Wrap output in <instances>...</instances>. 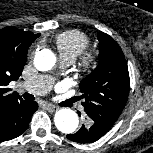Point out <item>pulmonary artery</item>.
I'll list each match as a JSON object with an SVG mask.
<instances>
[{"mask_svg":"<svg viewBox=\"0 0 153 153\" xmlns=\"http://www.w3.org/2000/svg\"><path fill=\"white\" fill-rule=\"evenodd\" d=\"M64 67L69 66L72 61L61 60ZM54 78L47 75H39L32 79L26 80L22 83V88L26 91L36 94L43 95L46 94L53 86Z\"/></svg>","mask_w":153,"mask_h":153,"instance_id":"pulmonary-artery-1","label":"pulmonary artery"}]
</instances>
